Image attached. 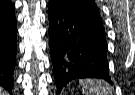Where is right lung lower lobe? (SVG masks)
<instances>
[{
    "label": "right lung lower lobe",
    "instance_id": "98d812e1",
    "mask_svg": "<svg viewBox=\"0 0 135 95\" xmlns=\"http://www.w3.org/2000/svg\"><path fill=\"white\" fill-rule=\"evenodd\" d=\"M17 52L15 14L0 17V86L12 92L13 72Z\"/></svg>",
    "mask_w": 135,
    "mask_h": 95
}]
</instances>
